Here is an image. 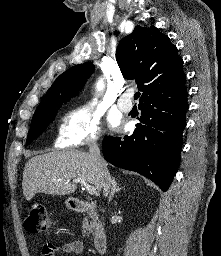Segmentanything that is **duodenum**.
Listing matches in <instances>:
<instances>
[{"instance_id": "1", "label": "duodenum", "mask_w": 221, "mask_h": 256, "mask_svg": "<svg viewBox=\"0 0 221 256\" xmlns=\"http://www.w3.org/2000/svg\"><path fill=\"white\" fill-rule=\"evenodd\" d=\"M72 208L76 212L97 213L98 206L94 202L75 199L72 201ZM93 245L99 253H105L107 248V234L103 226L97 225L93 232Z\"/></svg>"}]
</instances>
